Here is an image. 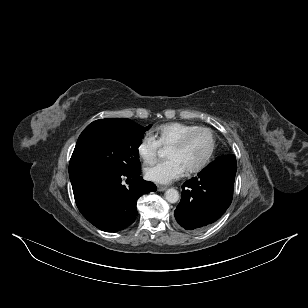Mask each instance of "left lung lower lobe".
Returning a JSON list of instances; mask_svg holds the SVG:
<instances>
[{"label": "left lung lower lobe", "mask_w": 308, "mask_h": 308, "mask_svg": "<svg viewBox=\"0 0 308 308\" xmlns=\"http://www.w3.org/2000/svg\"><path fill=\"white\" fill-rule=\"evenodd\" d=\"M237 170L234 155H224L186 181L174 216L189 231H199L218 220L230 206Z\"/></svg>", "instance_id": "left-lung-lower-lobe-1"}]
</instances>
